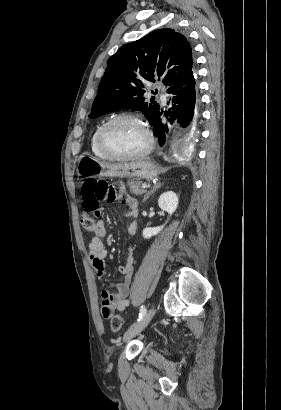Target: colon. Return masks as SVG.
Wrapping results in <instances>:
<instances>
[{"mask_svg":"<svg viewBox=\"0 0 281 410\" xmlns=\"http://www.w3.org/2000/svg\"><path fill=\"white\" fill-rule=\"evenodd\" d=\"M83 214L82 226L87 230H93L96 219L101 214L100 202H114L120 196V190L110 185L103 179L86 180L81 189ZM113 332H120L124 327V320L121 315H114L110 322Z\"/></svg>","mask_w":281,"mask_h":410,"instance_id":"colon-1","label":"colon"}]
</instances>
